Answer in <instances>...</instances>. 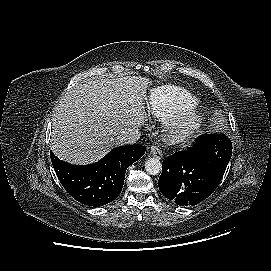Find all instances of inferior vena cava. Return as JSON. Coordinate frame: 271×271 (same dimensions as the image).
<instances>
[{
    "mask_svg": "<svg viewBox=\"0 0 271 271\" xmlns=\"http://www.w3.org/2000/svg\"><path fill=\"white\" fill-rule=\"evenodd\" d=\"M140 138L138 129H128L119 134L116 138V145H129L134 144Z\"/></svg>",
    "mask_w": 271,
    "mask_h": 271,
    "instance_id": "1",
    "label": "inferior vena cava"
}]
</instances>
